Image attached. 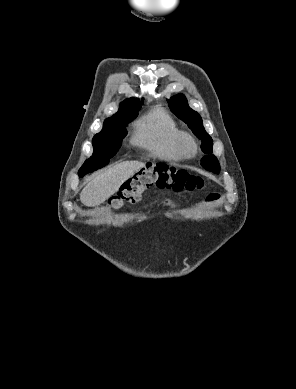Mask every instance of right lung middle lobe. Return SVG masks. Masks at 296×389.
<instances>
[{
	"mask_svg": "<svg viewBox=\"0 0 296 389\" xmlns=\"http://www.w3.org/2000/svg\"><path fill=\"white\" fill-rule=\"evenodd\" d=\"M139 109L105 120L102 131L92 140L93 155L85 161L83 168L98 167L99 169L109 162V159L119 150L122 139L127 134L124 127L138 115Z\"/></svg>",
	"mask_w": 296,
	"mask_h": 389,
	"instance_id": "1",
	"label": "right lung middle lobe"
}]
</instances>
